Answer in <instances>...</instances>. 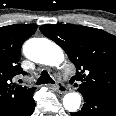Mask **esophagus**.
<instances>
[{
	"instance_id": "obj_1",
	"label": "esophagus",
	"mask_w": 116,
	"mask_h": 116,
	"mask_svg": "<svg viewBox=\"0 0 116 116\" xmlns=\"http://www.w3.org/2000/svg\"><path fill=\"white\" fill-rule=\"evenodd\" d=\"M54 89L60 94L67 92V87L62 82H58L56 85H54Z\"/></svg>"
}]
</instances>
